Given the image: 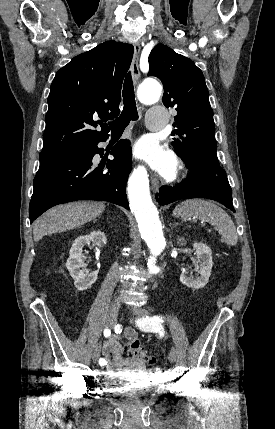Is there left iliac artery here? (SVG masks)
<instances>
[{
	"instance_id": "left-iliac-artery-1",
	"label": "left iliac artery",
	"mask_w": 275,
	"mask_h": 429,
	"mask_svg": "<svg viewBox=\"0 0 275 429\" xmlns=\"http://www.w3.org/2000/svg\"><path fill=\"white\" fill-rule=\"evenodd\" d=\"M163 322V318L160 316L146 317L142 320H138V326L147 331H155L160 323Z\"/></svg>"
}]
</instances>
